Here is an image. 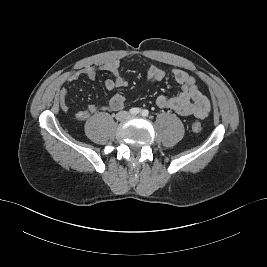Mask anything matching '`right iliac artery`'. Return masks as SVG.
Returning a JSON list of instances; mask_svg holds the SVG:
<instances>
[{"instance_id": "obj_1", "label": "right iliac artery", "mask_w": 267, "mask_h": 267, "mask_svg": "<svg viewBox=\"0 0 267 267\" xmlns=\"http://www.w3.org/2000/svg\"><path fill=\"white\" fill-rule=\"evenodd\" d=\"M140 111H141V109H139V108H131V109L129 110V112H130L131 114H133V115H136V114L140 113Z\"/></svg>"}]
</instances>
